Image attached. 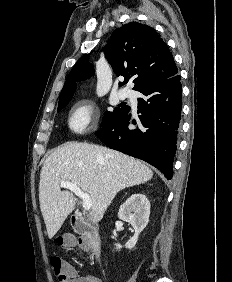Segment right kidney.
<instances>
[{"label": "right kidney", "instance_id": "right-kidney-1", "mask_svg": "<svg viewBox=\"0 0 232 282\" xmlns=\"http://www.w3.org/2000/svg\"><path fill=\"white\" fill-rule=\"evenodd\" d=\"M118 216L121 220L129 222L135 230L134 236L125 244L126 248L132 249L137 243L139 234L149 222L150 202L144 194H133L120 206ZM115 246L116 249L122 248L120 244Z\"/></svg>", "mask_w": 232, "mask_h": 282}]
</instances>
